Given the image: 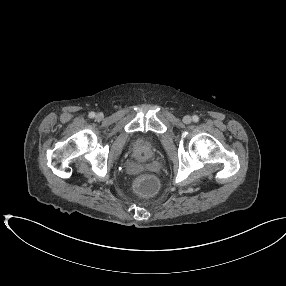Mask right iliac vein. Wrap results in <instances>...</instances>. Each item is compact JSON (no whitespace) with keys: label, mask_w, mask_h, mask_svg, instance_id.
Segmentation results:
<instances>
[{"label":"right iliac vein","mask_w":286,"mask_h":286,"mask_svg":"<svg viewBox=\"0 0 286 286\" xmlns=\"http://www.w3.org/2000/svg\"><path fill=\"white\" fill-rule=\"evenodd\" d=\"M96 117H97L98 119H100V118L102 117V115H101V114H98Z\"/></svg>","instance_id":"obj_1"}]
</instances>
